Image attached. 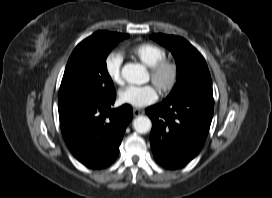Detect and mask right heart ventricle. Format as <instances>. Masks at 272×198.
Returning a JSON list of instances; mask_svg holds the SVG:
<instances>
[{
    "label": "right heart ventricle",
    "instance_id": "e07e8e85",
    "mask_svg": "<svg viewBox=\"0 0 272 198\" xmlns=\"http://www.w3.org/2000/svg\"><path fill=\"white\" fill-rule=\"evenodd\" d=\"M128 52L149 67L166 57L164 48L150 42L132 45L128 48Z\"/></svg>",
    "mask_w": 272,
    "mask_h": 198
}]
</instances>
